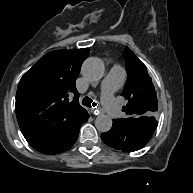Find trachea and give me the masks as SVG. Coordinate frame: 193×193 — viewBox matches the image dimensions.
<instances>
[{
  "label": "trachea",
  "mask_w": 193,
  "mask_h": 193,
  "mask_svg": "<svg viewBox=\"0 0 193 193\" xmlns=\"http://www.w3.org/2000/svg\"><path fill=\"white\" fill-rule=\"evenodd\" d=\"M82 104L87 106V107H95L97 104L95 102H93V100L89 97H84L82 100Z\"/></svg>",
  "instance_id": "3493384b"
}]
</instances>
